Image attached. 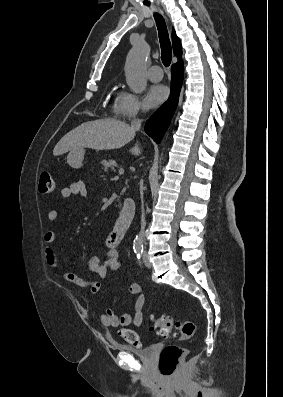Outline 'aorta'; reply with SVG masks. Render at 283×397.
I'll return each instance as SVG.
<instances>
[{"mask_svg":"<svg viewBox=\"0 0 283 397\" xmlns=\"http://www.w3.org/2000/svg\"><path fill=\"white\" fill-rule=\"evenodd\" d=\"M150 47L145 42H139L128 53L125 63L126 82L130 89L139 94L147 86L146 61L149 56ZM133 248L140 251L143 248L141 233L136 235Z\"/></svg>","mask_w":283,"mask_h":397,"instance_id":"1","label":"aorta"}]
</instances>
